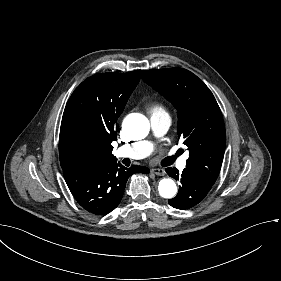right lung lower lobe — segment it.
<instances>
[{"mask_svg":"<svg viewBox=\"0 0 281 281\" xmlns=\"http://www.w3.org/2000/svg\"><path fill=\"white\" fill-rule=\"evenodd\" d=\"M62 170L76 201L96 215L107 214L119 205L130 175L149 172L144 166L125 168L117 162L70 165Z\"/></svg>","mask_w":281,"mask_h":281,"instance_id":"98d812e1","label":"right lung lower lobe"}]
</instances>
